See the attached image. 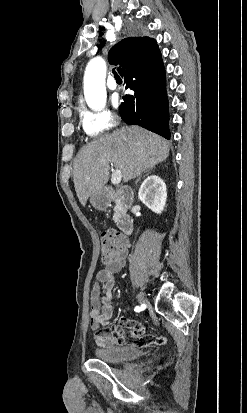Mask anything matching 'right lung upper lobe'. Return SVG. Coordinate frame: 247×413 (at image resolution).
<instances>
[{
  "label": "right lung upper lobe",
  "mask_w": 247,
  "mask_h": 413,
  "mask_svg": "<svg viewBox=\"0 0 247 413\" xmlns=\"http://www.w3.org/2000/svg\"><path fill=\"white\" fill-rule=\"evenodd\" d=\"M110 64L120 65L118 72L124 76H136L162 63L161 53L154 39L130 37L111 48L108 54Z\"/></svg>",
  "instance_id": "right-lung-upper-lobe-1"
}]
</instances>
